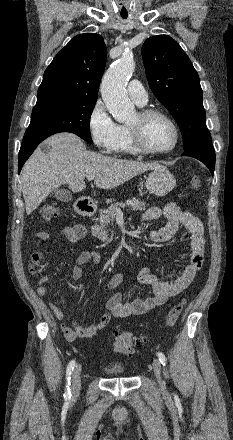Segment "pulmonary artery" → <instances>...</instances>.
Instances as JSON below:
<instances>
[{
	"label": "pulmonary artery",
	"instance_id": "obj_1",
	"mask_svg": "<svg viewBox=\"0 0 233 440\" xmlns=\"http://www.w3.org/2000/svg\"><path fill=\"white\" fill-rule=\"evenodd\" d=\"M127 91L131 99L138 105L144 106L148 101V94L143 84L138 80L129 82Z\"/></svg>",
	"mask_w": 233,
	"mask_h": 440
}]
</instances>
